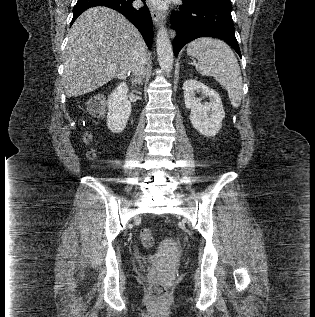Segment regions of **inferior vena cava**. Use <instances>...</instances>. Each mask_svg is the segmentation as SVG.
Instances as JSON below:
<instances>
[{
    "instance_id": "inferior-vena-cava-1",
    "label": "inferior vena cava",
    "mask_w": 315,
    "mask_h": 317,
    "mask_svg": "<svg viewBox=\"0 0 315 317\" xmlns=\"http://www.w3.org/2000/svg\"><path fill=\"white\" fill-rule=\"evenodd\" d=\"M144 66H145V53L138 52L133 58L131 64V71L135 75V79L141 78L144 74Z\"/></svg>"
}]
</instances>
